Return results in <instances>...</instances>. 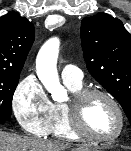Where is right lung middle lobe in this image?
<instances>
[{
  "instance_id": "1",
  "label": "right lung middle lobe",
  "mask_w": 131,
  "mask_h": 151,
  "mask_svg": "<svg viewBox=\"0 0 131 151\" xmlns=\"http://www.w3.org/2000/svg\"><path fill=\"white\" fill-rule=\"evenodd\" d=\"M19 74L0 73V120L11 118L12 97L18 85Z\"/></svg>"
}]
</instances>
